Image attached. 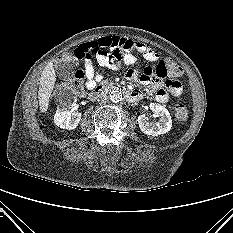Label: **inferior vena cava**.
<instances>
[{
	"label": "inferior vena cava",
	"mask_w": 233,
	"mask_h": 233,
	"mask_svg": "<svg viewBox=\"0 0 233 233\" xmlns=\"http://www.w3.org/2000/svg\"><path fill=\"white\" fill-rule=\"evenodd\" d=\"M108 100H109V97L104 93H101L97 96V101L100 103H107Z\"/></svg>",
	"instance_id": "602c4592"
}]
</instances>
